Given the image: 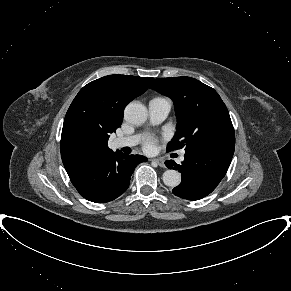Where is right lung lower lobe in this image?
Listing matches in <instances>:
<instances>
[{
    "label": "right lung lower lobe",
    "instance_id": "1",
    "mask_svg": "<svg viewBox=\"0 0 291 291\" xmlns=\"http://www.w3.org/2000/svg\"><path fill=\"white\" fill-rule=\"evenodd\" d=\"M146 161L145 156L113 152L91 168L74 187L85 199L95 203L115 200L129 187L136 165Z\"/></svg>",
    "mask_w": 291,
    "mask_h": 291
}]
</instances>
